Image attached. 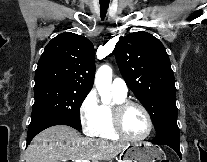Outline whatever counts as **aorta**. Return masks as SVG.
I'll use <instances>...</instances> for the list:
<instances>
[{
  "mask_svg": "<svg viewBox=\"0 0 207 162\" xmlns=\"http://www.w3.org/2000/svg\"><path fill=\"white\" fill-rule=\"evenodd\" d=\"M111 81L112 68L109 65H102L96 72L95 85L103 104H109L112 100Z\"/></svg>",
  "mask_w": 207,
  "mask_h": 162,
  "instance_id": "obj_1",
  "label": "aorta"
}]
</instances>
